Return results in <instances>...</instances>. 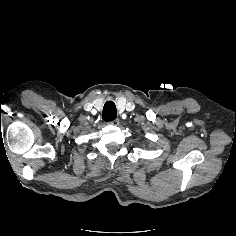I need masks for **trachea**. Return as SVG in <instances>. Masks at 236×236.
I'll return each mask as SVG.
<instances>
[{
    "label": "trachea",
    "instance_id": "1",
    "mask_svg": "<svg viewBox=\"0 0 236 236\" xmlns=\"http://www.w3.org/2000/svg\"><path fill=\"white\" fill-rule=\"evenodd\" d=\"M117 117L116 105L113 101H107L103 107L102 119L104 121H113Z\"/></svg>",
    "mask_w": 236,
    "mask_h": 236
}]
</instances>
